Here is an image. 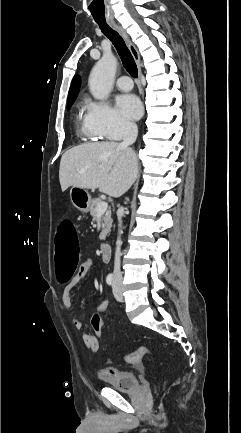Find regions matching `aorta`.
I'll list each match as a JSON object with an SVG mask.
<instances>
[{
  "instance_id": "obj_1",
  "label": "aorta",
  "mask_w": 241,
  "mask_h": 433,
  "mask_svg": "<svg viewBox=\"0 0 241 433\" xmlns=\"http://www.w3.org/2000/svg\"><path fill=\"white\" fill-rule=\"evenodd\" d=\"M117 59L112 54H105L93 67L89 77V89L98 100L107 99L115 78Z\"/></svg>"
}]
</instances>
